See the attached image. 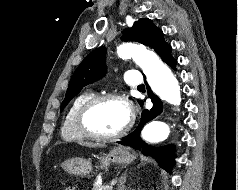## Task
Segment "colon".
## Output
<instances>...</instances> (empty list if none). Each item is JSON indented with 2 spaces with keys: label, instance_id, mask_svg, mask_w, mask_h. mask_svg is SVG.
<instances>
[{
  "label": "colon",
  "instance_id": "colon-1",
  "mask_svg": "<svg viewBox=\"0 0 238 190\" xmlns=\"http://www.w3.org/2000/svg\"><path fill=\"white\" fill-rule=\"evenodd\" d=\"M64 190H75L73 187H67Z\"/></svg>",
  "mask_w": 238,
  "mask_h": 190
}]
</instances>
